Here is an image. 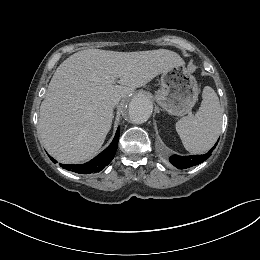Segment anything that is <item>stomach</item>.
Masks as SVG:
<instances>
[{
  "label": "stomach",
  "instance_id": "obj_1",
  "mask_svg": "<svg viewBox=\"0 0 260 260\" xmlns=\"http://www.w3.org/2000/svg\"><path fill=\"white\" fill-rule=\"evenodd\" d=\"M171 69L163 72L161 86L155 91V99L170 115L184 116L191 112L198 100V86L195 78Z\"/></svg>",
  "mask_w": 260,
  "mask_h": 260
}]
</instances>
